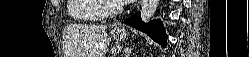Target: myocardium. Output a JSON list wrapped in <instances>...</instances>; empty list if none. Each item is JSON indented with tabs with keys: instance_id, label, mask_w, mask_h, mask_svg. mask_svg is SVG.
Returning <instances> with one entry per match:
<instances>
[{
	"instance_id": "f54148a6",
	"label": "myocardium",
	"mask_w": 249,
	"mask_h": 57,
	"mask_svg": "<svg viewBox=\"0 0 249 57\" xmlns=\"http://www.w3.org/2000/svg\"><path fill=\"white\" fill-rule=\"evenodd\" d=\"M99 10L105 17H113L119 15L123 11V4L118 3L111 7L109 0H98Z\"/></svg>"
}]
</instances>
